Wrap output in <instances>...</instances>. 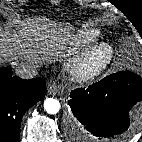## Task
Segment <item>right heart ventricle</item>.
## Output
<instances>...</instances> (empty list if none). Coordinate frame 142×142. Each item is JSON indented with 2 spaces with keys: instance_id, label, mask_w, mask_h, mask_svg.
Wrapping results in <instances>:
<instances>
[{
  "instance_id": "right-heart-ventricle-1",
  "label": "right heart ventricle",
  "mask_w": 142,
  "mask_h": 142,
  "mask_svg": "<svg viewBox=\"0 0 142 142\" xmlns=\"http://www.w3.org/2000/svg\"><path fill=\"white\" fill-rule=\"evenodd\" d=\"M98 37H99L98 31L92 29L84 30L77 37L74 38L73 42H71V47L73 50L81 48L96 41Z\"/></svg>"
}]
</instances>
